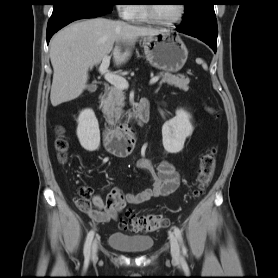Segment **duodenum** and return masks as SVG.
<instances>
[{
  "label": "duodenum",
  "instance_id": "obj_1",
  "mask_svg": "<svg viewBox=\"0 0 278 278\" xmlns=\"http://www.w3.org/2000/svg\"><path fill=\"white\" fill-rule=\"evenodd\" d=\"M150 118L149 103L143 99L137 103L119 126L105 129L104 145L108 151L118 156L127 155L135 140L133 122L146 123Z\"/></svg>",
  "mask_w": 278,
  "mask_h": 278
}]
</instances>
